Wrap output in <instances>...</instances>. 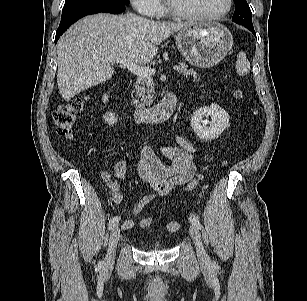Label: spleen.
<instances>
[{"label": "spleen", "instance_id": "spleen-1", "mask_svg": "<svg viewBox=\"0 0 307 301\" xmlns=\"http://www.w3.org/2000/svg\"><path fill=\"white\" fill-rule=\"evenodd\" d=\"M236 69L239 75L244 76L250 71V62L244 52H240L237 55Z\"/></svg>", "mask_w": 307, "mask_h": 301}]
</instances>
